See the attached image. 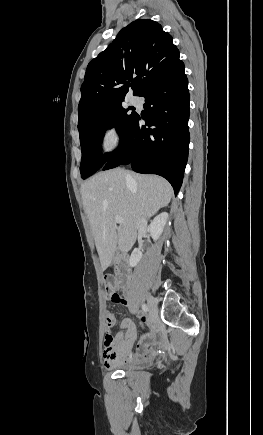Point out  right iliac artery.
Instances as JSON below:
<instances>
[{"label":"right iliac artery","mask_w":263,"mask_h":435,"mask_svg":"<svg viewBox=\"0 0 263 435\" xmlns=\"http://www.w3.org/2000/svg\"><path fill=\"white\" fill-rule=\"evenodd\" d=\"M142 310L146 313L148 312V306L146 304H142Z\"/></svg>","instance_id":"right-iliac-artery-1"}]
</instances>
